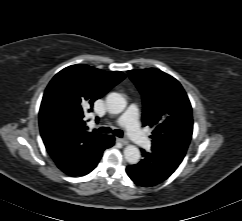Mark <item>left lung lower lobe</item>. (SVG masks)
I'll return each instance as SVG.
<instances>
[{
  "mask_svg": "<svg viewBox=\"0 0 242 221\" xmlns=\"http://www.w3.org/2000/svg\"><path fill=\"white\" fill-rule=\"evenodd\" d=\"M142 151L143 159L128 166L126 172L137 185L151 187L166 180L179 166V160L166 152L153 148L150 152Z\"/></svg>",
  "mask_w": 242,
  "mask_h": 221,
  "instance_id": "0a47b994",
  "label": "left lung lower lobe"
}]
</instances>
